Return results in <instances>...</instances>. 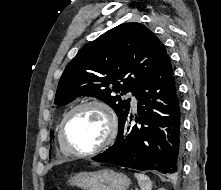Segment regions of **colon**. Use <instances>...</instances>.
<instances>
[{
	"label": "colon",
	"instance_id": "1",
	"mask_svg": "<svg viewBox=\"0 0 221 190\" xmlns=\"http://www.w3.org/2000/svg\"><path fill=\"white\" fill-rule=\"evenodd\" d=\"M50 190H59V188L56 187V186H53V187L50 188Z\"/></svg>",
	"mask_w": 221,
	"mask_h": 190
}]
</instances>
